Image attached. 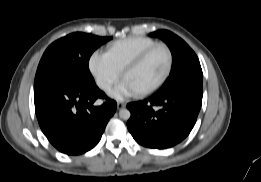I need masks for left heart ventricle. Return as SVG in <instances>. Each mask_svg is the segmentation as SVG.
Masks as SVG:
<instances>
[{"mask_svg":"<svg viewBox=\"0 0 261 182\" xmlns=\"http://www.w3.org/2000/svg\"><path fill=\"white\" fill-rule=\"evenodd\" d=\"M168 64L167 52L162 49L153 51L135 70L129 72L124 80L129 82L138 92L156 84L164 75Z\"/></svg>","mask_w":261,"mask_h":182,"instance_id":"1","label":"left heart ventricle"}]
</instances>
